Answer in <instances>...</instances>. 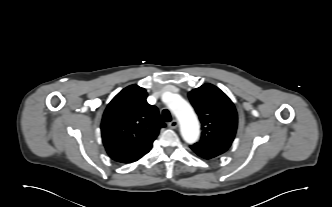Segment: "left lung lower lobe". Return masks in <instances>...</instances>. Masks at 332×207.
I'll list each match as a JSON object with an SVG mask.
<instances>
[{
	"mask_svg": "<svg viewBox=\"0 0 332 207\" xmlns=\"http://www.w3.org/2000/svg\"><path fill=\"white\" fill-rule=\"evenodd\" d=\"M196 153V152H195ZM198 156L202 157V158H205V159H211V158H214L213 156H210V155H204V154H199V153H196Z\"/></svg>",
	"mask_w": 332,
	"mask_h": 207,
	"instance_id": "left-lung-lower-lobe-1",
	"label": "left lung lower lobe"
}]
</instances>
